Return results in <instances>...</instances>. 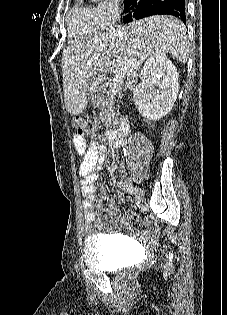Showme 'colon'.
Wrapping results in <instances>:
<instances>
[{"label": "colon", "mask_w": 227, "mask_h": 315, "mask_svg": "<svg viewBox=\"0 0 227 315\" xmlns=\"http://www.w3.org/2000/svg\"><path fill=\"white\" fill-rule=\"evenodd\" d=\"M72 125L80 136L97 137L93 124L82 116L73 117Z\"/></svg>", "instance_id": "colon-1"}]
</instances>
